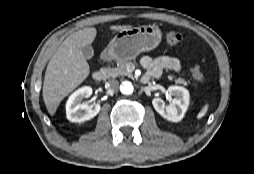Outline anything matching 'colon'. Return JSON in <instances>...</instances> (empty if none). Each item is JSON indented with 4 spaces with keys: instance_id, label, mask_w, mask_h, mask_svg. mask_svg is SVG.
Instances as JSON below:
<instances>
[{
    "instance_id": "obj_1",
    "label": "colon",
    "mask_w": 254,
    "mask_h": 174,
    "mask_svg": "<svg viewBox=\"0 0 254 174\" xmlns=\"http://www.w3.org/2000/svg\"><path fill=\"white\" fill-rule=\"evenodd\" d=\"M183 37L181 35V33H179L176 30H170L169 32H167L166 34V40L169 44H178L182 41ZM192 75L194 77V79L198 82H203L205 79L204 73L201 70L199 65H195L192 67L191 69Z\"/></svg>"
}]
</instances>
